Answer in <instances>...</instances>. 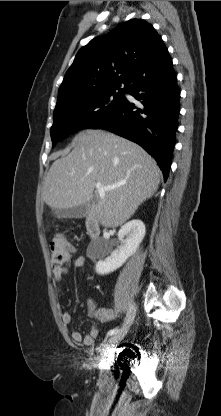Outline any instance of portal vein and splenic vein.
Masks as SVG:
<instances>
[{
	"mask_svg": "<svg viewBox=\"0 0 221 416\" xmlns=\"http://www.w3.org/2000/svg\"><path fill=\"white\" fill-rule=\"evenodd\" d=\"M123 184L124 183H120V184H117V185L103 186L101 183H97L96 184V189H97L98 193L101 195V194H104L105 191L112 190V189H114L116 187H119V186H121Z\"/></svg>",
	"mask_w": 221,
	"mask_h": 416,
	"instance_id": "1",
	"label": "portal vein and splenic vein"
}]
</instances>
